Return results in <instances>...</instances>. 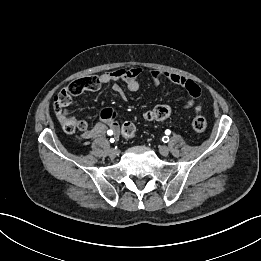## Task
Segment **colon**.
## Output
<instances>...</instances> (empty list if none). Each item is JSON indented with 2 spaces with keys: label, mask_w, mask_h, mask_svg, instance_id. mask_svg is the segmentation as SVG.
<instances>
[{
  "label": "colon",
  "mask_w": 261,
  "mask_h": 261,
  "mask_svg": "<svg viewBox=\"0 0 261 261\" xmlns=\"http://www.w3.org/2000/svg\"><path fill=\"white\" fill-rule=\"evenodd\" d=\"M93 86L92 78L86 77L72 82L69 86L61 90L53 101L54 110L60 120L63 129L66 132H74L76 130H84L87 123L83 120H78L71 116L67 111V107L71 102V98L80 94L86 89ZM171 109L166 105H158L145 114V119L148 121H161L169 118ZM192 128L196 132H203L207 127V122L204 117L196 116L191 122ZM121 136L124 139H132L136 134V126L132 121H126L121 125Z\"/></svg>",
  "instance_id": "5ec220e1"
}]
</instances>
